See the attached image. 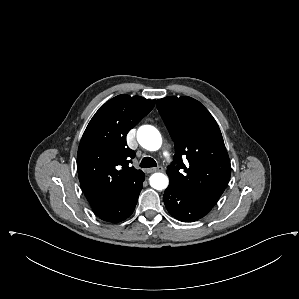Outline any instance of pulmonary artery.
I'll return each instance as SVG.
<instances>
[{
  "instance_id": "pulmonary-artery-1",
  "label": "pulmonary artery",
  "mask_w": 299,
  "mask_h": 299,
  "mask_svg": "<svg viewBox=\"0 0 299 299\" xmlns=\"http://www.w3.org/2000/svg\"><path fill=\"white\" fill-rule=\"evenodd\" d=\"M166 156L168 155V153H164Z\"/></svg>"
}]
</instances>
